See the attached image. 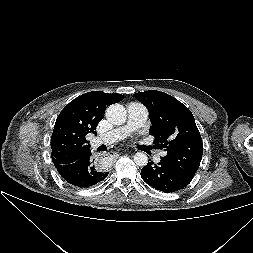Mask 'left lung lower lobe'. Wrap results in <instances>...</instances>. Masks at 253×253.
Here are the masks:
<instances>
[{
    "mask_svg": "<svg viewBox=\"0 0 253 253\" xmlns=\"http://www.w3.org/2000/svg\"><path fill=\"white\" fill-rule=\"evenodd\" d=\"M141 177L149 186L165 193L178 191L191 182L162 160L157 165L150 162L143 167Z\"/></svg>",
    "mask_w": 253,
    "mask_h": 253,
    "instance_id": "obj_1",
    "label": "left lung lower lobe"
}]
</instances>
